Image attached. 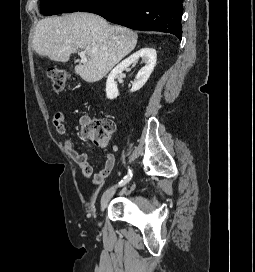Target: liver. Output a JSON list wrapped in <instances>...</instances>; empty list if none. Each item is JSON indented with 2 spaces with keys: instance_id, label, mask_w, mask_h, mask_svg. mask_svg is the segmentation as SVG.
<instances>
[{
  "instance_id": "liver-1",
  "label": "liver",
  "mask_w": 255,
  "mask_h": 272,
  "mask_svg": "<svg viewBox=\"0 0 255 272\" xmlns=\"http://www.w3.org/2000/svg\"><path fill=\"white\" fill-rule=\"evenodd\" d=\"M132 30L110 25L93 13L75 12L41 19L33 38V49L53 61L67 62L78 49L86 50L87 62L75 66L86 82L101 80L137 44Z\"/></svg>"
}]
</instances>
